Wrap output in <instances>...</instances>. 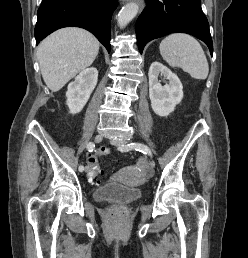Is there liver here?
<instances>
[{
    "label": "liver",
    "mask_w": 248,
    "mask_h": 258,
    "mask_svg": "<svg viewBox=\"0 0 248 258\" xmlns=\"http://www.w3.org/2000/svg\"><path fill=\"white\" fill-rule=\"evenodd\" d=\"M99 41L80 28L60 29L45 38L37 48L44 82L59 91L79 72L89 67L99 52Z\"/></svg>",
    "instance_id": "obj_1"
}]
</instances>
